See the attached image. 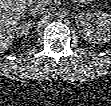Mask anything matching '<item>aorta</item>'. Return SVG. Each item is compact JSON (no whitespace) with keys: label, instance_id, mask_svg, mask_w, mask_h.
I'll return each instance as SVG.
<instances>
[{"label":"aorta","instance_id":"762f6f07","mask_svg":"<svg viewBox=\"0 0 111 106\" xmlns=\"http://www.w3.org/2000/svg\"><path fill=\"white\" fill-rule=\"evenodd\" d=\"M55 15L57 18L62 19L66 16V12L64 10L60 9L55 13Z\"/></svg>","mask_w":111,"mask_h":106}]
</instances>
